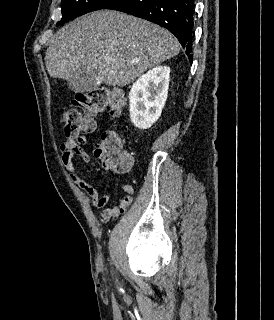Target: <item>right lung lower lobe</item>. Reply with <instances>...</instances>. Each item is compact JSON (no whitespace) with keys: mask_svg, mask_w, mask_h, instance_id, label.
Masks as SVG:
<instances>
[{"mask_svg":"<svg viewBox=\"0 0 274 320\" xmlns=\"http://www.w3.org/2000/svg\"><path fill=\"white\" fill-rule=\"evenodd\" d=\"M194 8V0H114L103 9L121 11L167 28L186 49L192 62Z\"/></svg>","mask_w":274,"mask_h":320,"instance_id":"right-lung-lower-lobe-1","label":"right lung lower lobe"}]
</instances>
